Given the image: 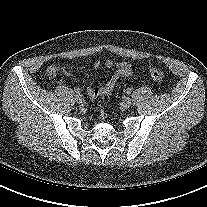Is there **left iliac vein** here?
<instances>
[{"instance_id": "left-iliac-vein-1", "label": "left iliac vein", "mask_w": 207, "mask_h": 207, "mask_svg": "<svg viewBox=\"0 0 207 207\" xmlns=\"http://www.w3.org/2000/svg\"><path fill=\"white\" fill-rule=\"evenodd\" d=\"M132 104V100L131 98L129 97H126L123 99L122 103H121V106L124 108V109H127L131 106Z\"/></svg>"}]
</instances>
